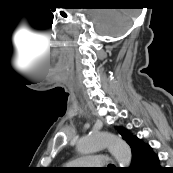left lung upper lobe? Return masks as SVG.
Segmentation results:
<instances>
[{
    "label": "left lung upper lobe",
    "instance_id": "1",
    "mask_svg": "<svg viewBox=\"0 0 173 173\" xmlns=\"http://www.w3.org/2000/svg\"><path fill=\"white\" fill-rule=\"evenodd\" d=\"M120 134L122 137L126 140V142L129 144L133 136L129 133H125V130L123 128H118Z\"/></svg>",
    "mask_w": 173,
    "mask_h": 173
}]
</instances>
